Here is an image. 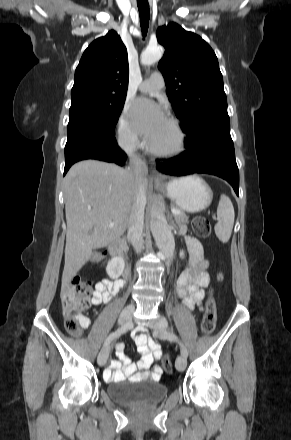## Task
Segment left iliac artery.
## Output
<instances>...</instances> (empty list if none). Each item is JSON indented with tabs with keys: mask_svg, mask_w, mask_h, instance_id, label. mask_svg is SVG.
<instances>
[{
	"mask_svg": "<svg viewBox=\"0 0 291 440\" xmlns=\"http://www.w3.org/2000/svg\"><path fill=\"white\" fill-rule=\"evenodd\" d=\"M166 338L171 340V341H175L178 342L180 344V348H181V354L185 357L188 356V351L186 349V347L183 345V343L179 340V338L177 337V335L175 333H167L166 334Z\"/></svg>",
	"mask_w": 291,
	"mask_h": 440,
	"instance_id": "44dca946",
	"label": "left iliac artery"
}]
</instances>
